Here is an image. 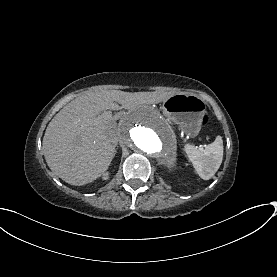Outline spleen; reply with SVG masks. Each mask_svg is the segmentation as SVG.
I'll return each instance as SVG.
<instances>
[{"instance_id": "1", "label": "spleen", "mask_w": 277, "mask_h": 277, "mask_svg": "<svg viewBox=\"0 0 277 277\" xmlns=\"http://www.w3.org/2000/svg\"><path fill=\"white\" fill-rule=\"evenodd\" d=\"M184 149L196 172L204 180H209L222 163L223 140L221 136H217L214 142L205 147L203 152L190 144H186Z\"/></svg>"}]
</instances>
